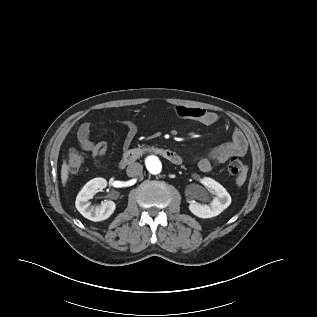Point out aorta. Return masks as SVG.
Masks as SVG:
<instances>
[{"label": "aorta", "instance_id": "obj_1", "mask_svg": "<svg viewBox=\"0 0 317 317\" xmlns=\"http://www.w3.org/2000/svg\"><path fill=\"white\" fill-rule=\"evenodd\" d=\"M146 168L152 174H158L161 172L162 164L156 156H150L146 160Z\"/></svg>", "mask_w": 317, "mask_h": 317}]
</instances>
